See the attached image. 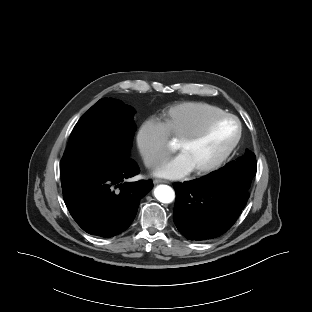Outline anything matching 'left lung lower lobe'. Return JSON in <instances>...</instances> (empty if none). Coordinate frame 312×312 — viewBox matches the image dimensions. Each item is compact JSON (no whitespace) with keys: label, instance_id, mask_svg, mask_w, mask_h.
Wrapping results in <instances>:
<instances>
[{"label":"left lung lower lobe","instance_id":"0a47b994","mask_svg":"<svg viewBox=\"0 0 312 312\" xmlns=\"http://www.w3.org/2000/svg\"><path fill=\"white\" fill-rule=\"evenodd\" d=\"M173 219L188 240H208L225 233L249 199V191L223 174L175 183Z\"/></svg>","mask_w":312,"mask_h":312}]
</instances>
